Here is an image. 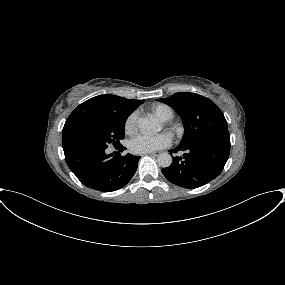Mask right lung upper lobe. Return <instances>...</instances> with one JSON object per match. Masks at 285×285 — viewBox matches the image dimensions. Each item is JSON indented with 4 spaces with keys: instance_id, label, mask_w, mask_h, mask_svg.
<instances>
[{
    "instance_id": "cb5924a9",
    "label": "right lung upper lobe",
    "mask_w": 285,
    "mask_h": 285,
    "mask_svg": "<svg viewBox=\"0 0 285 285\" xmlns=\"http://www.w3.org/2000/svg\"><path fill=\"white\" fill-rule=\"evenodd\" d=\"M144 100H133L116 95H99L82 104L70 114L62 130V147L73 146L75 137L84 129L113 116H129Z\"/></svg>"
}]
</instances>
